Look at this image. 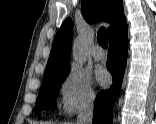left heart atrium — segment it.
Returning a JSON list of instances; mask_svg holds the SVG:
<instances>
[{
  "mask_svg": "<svg viewBox=\"0 0 156 124\" xmlns=\"http://www.w3.org/2000/svg\"><path fill=\"white\" fill-rule=\"evenodd\" d=\"M96 79L102 86L108 85L111 81V77L108 71L101 67L96 70Z\"/></svg>",
  "mask_w": 156,
  "mask_h": 124,
  "instance_id": "39dd6f15",
  "label": "left heart atrium"
}]
</instances>
